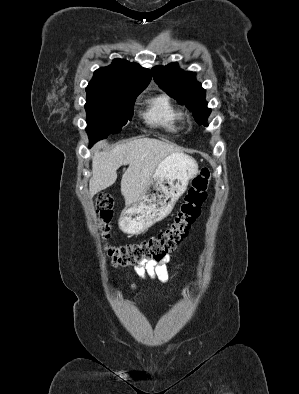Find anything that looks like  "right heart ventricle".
<instances>
[{"mask_svg": "<svg viewBox=\"0 0 299 394\" xmlns=\"http://www.w3.org/2000/svg\"><path fill=\"white\" fill-rule=\"evenodd\" d=\"M143 117L150 126L169 132L178 131L183 121L182 112L163 94L146 101Z\"/></svg>", "mask_w": 299, "mask_h": 394, "instance_id": "right-heart-ventricle-1", "label": "right heart ventricle"}]
</instances>
